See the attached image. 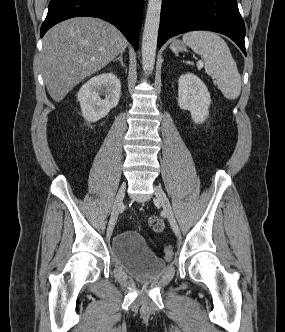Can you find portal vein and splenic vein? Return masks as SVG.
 Wrapping results in <instances>:
<instances>
[{
  "mask_svg": "<svg viewBox=\"0 0 285 332\" xmlns=\"http://www.w3.org/2000/svg\"><path fill=\"white\" fill-rule=\"evenodd\" d=\"M199 66L202 67V66H203V63H202V62H199Z\"/></svg>",
  "mask_w": 285,
  "mask_h": 332,
  "instance_id": "obj_1",
  "label": "portal vein and splenic vein"
}]
</instances>
